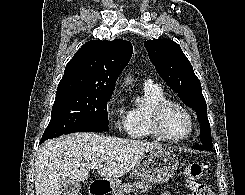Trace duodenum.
I'll use <instances>...</instances> for the list:
<instances>
[{
    "instance_id": "410a0bca",
    "label": "duodenum",
    "mask_w": 245,
    "mask_h": 195,
    "mask_svg": "<svg viewBox=\"0 0 245 195\" xmlns=\"http://www.w3.org/2000/svg\"><path fill=\"white\" fill-rule=\"evenodd\" d=\"M111 188L102 181H93L90 184V195H109Z\"/></svg>"
}]
</instances>
